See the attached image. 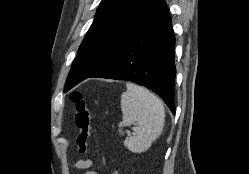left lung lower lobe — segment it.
<instances>
[{
    "instance_id": "0a47b994",
    "label": "left lung lower lobe",
    "mask_w": 249,
    "mask_h": 174,
    "mask_svg": "<svg viewBox=\"0 0 249 174\" xmlns=\"http://www.w3.org/2000/svg\"><path fill=\"white\" fill-rule=\"evenodd\" d=\"M174 43L167 5L143 26L103 68L90 77L133 81L158 94L175 115ZM86 78L73 82L71 88Z\"/></svg>"
}]
</instances>
